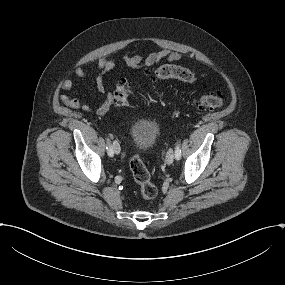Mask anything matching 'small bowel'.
I'll list each match as a JSON object with an SVG mask.
<instances>
[{"instance_id":"c3829d8e","label":"small bowel","mask_w":285,"mask_h":285,"mask_svg":"<svg viewBox=\"0 0 285 285\" xmlns=\"http://www.w3.org/2000/svg\"><path fill=\"white\" fill-rule=\"evenodd\" d=\"M182 54L178 51H171L169 49H161L157 51H152L148 55L144 56L142 54L126 55L122 57L121 63L128 68L138 69L142 67H151L160 62L167 61L173 62L180 60ZM116 59L108 56H101L98 58L96 63V68L93 72L95 76V83L97 90L104 95L102 103L96 108L95 113L98 116H104L113 105V93L107 88L105 82V76L114 69L116 66ZM75 74L79 78H85L89 75L84 67L79 64L75 68ZM61 88L65 91H70L74 88V84L70 79H65L61 82ZM61 102L70 108L83 110L86 112L91 111V107L81 101L79 98L70 97L65 94L59 96Z\"/></svg>"}]
</instances>
